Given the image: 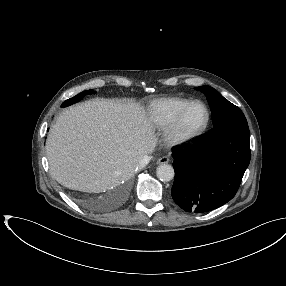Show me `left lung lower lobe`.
Listing matches in <instances>:
<instances>
[{
  "label": "left lung lower lobe",
  "instance_id": "1",
  "mask_svg": "<svg viewBox=\"0 0 286 286\" xmlns=\"http://www.w3.org/2000/svg\"><path fill=\"white\" fill-rule=\"evenodd\" d=\"M173 158V200L188 212L216 209L235 196L249 165L248 124L218 125Z\"/></svg>",
  "mask_w": 286,
  "mask_h": 286
}]
</instances>
